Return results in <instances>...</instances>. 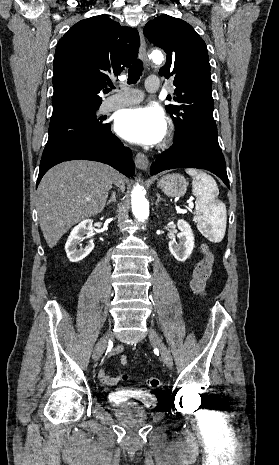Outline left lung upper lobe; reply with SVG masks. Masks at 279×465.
Listing matches in <instances>:
<instances>
[{"mask_svg":"<svg viewBox=\"0 0 279 465\" xmlns=\"http://www.w3.org/2000/svg\"><path fill=\"white\" fill-rule=\"evenodd\" d=\"M144 34L167 53L159 74L174 78V104L166 106L176 127L174 141L193 138L220 149L213 118L212 80L207 47L187 22L161 15L149 21Z\"/></svg>","mask_w":279,"mask_h":465,"instance_id":"left-lung-upper-lobe-1","label":"left lung upper lobe"}]
</instances>
